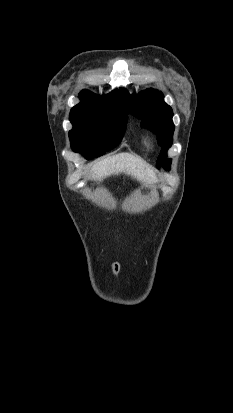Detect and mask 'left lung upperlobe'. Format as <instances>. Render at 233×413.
Instances as JSON below:
<instances>
[{
    "label": "left lung upper lobe",
    "instance_id": "1",
    "mask_svg": "<svg viewBox=\"0 0 233 413\" xmlns=\"http://www.w3.org/2000/svg\"><path fill=\"white\" fill-rule=\"evenodd\" d=\"M123 96L131 113L143 120L144 127L156 133L159 144L163 146L157 163L169 170L171 159L165 158V155L172 145L174 124L172 109L164 102L163 94L153 89H148L139 95L129 94L124 90Z\"/></svg>",
    "mask_w": 233,
    "mask_h": 413
}]
</instances>
